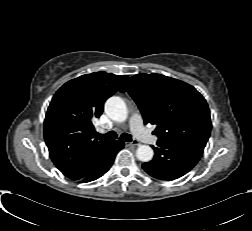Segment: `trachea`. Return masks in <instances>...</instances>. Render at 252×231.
<instances>
[{
    "label": "trachea",
    "instance_id": "obj_1",
    "mask_svg": "<svg viewBox=\"0 0 252 231\" xmlns=\"http://www.w3.org/2000/svg\"><path fill=\"white\" fill-rule=\"evenodd\" d=\"M99 138H103V139H108V140H114L117 138V134L116 132L114 131H110L106 134H97ZM120 139H122L123 141H126V142H131L132 141V138H131V135L130 134H127V133H123L120 137Z\"/></svg>",
    "mask_w": 252,
    "mask_h": 231
}]
</instances>
